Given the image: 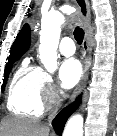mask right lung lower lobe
<instances>
[{"instance_id": "obj_1", "label": "right lung lower lobe", "mask_w": 117, "mask_h": 136, "mask_svg": "<svg viewBox=\"0 0 117 136\" xmlns=\"http://www.w3.org/2000/svg\"><path fill=\"white\" fill-rule=\"evenodd\" d=\"M81 97H78L77 101L72 105L64 108L53 120L52 125L55 128L57 134L61 135L64 125L69 118V116L77 109L79 106Z\"/></svg>"}]
</instances>
